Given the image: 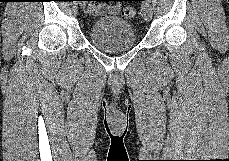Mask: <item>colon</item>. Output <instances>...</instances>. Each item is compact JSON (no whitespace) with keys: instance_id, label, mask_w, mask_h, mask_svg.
Returning <instances> with one entry per match:
<instances>
[{"instance_id":"5ec220e1","label":"colon","mask_w":229,"mask_h":161,"mask_svg":"<svg viewBox=\"0 0 229 161\" xmlns=\"http://www.w3.org/2000/svg\"><path fill=\"white\" fill-rule=\"evenodd\" d=\"M121 15L126 19H132L136 15V9L133 6H126L122 9Z\"/></svg>"}]
</instances>
